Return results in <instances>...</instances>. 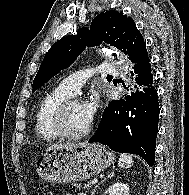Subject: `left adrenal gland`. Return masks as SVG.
I'll use <instances>...</instances> for the list:
<instances>
[{"label":"left adrenal gland","mask_w":189,"mask_h":195,"mask_svg":"<svg viewBox=\"0 0 189 195\" xmlns=\"http://www.w3.org/2000/svg\"><path fill=\"white\" fill-rule=\"evenodd\" d=\"M114 177V172H111L110 174H108L103 180H101V182L95 186V188L93 189L91 195H94L96 193L97 188L100 186V184H102L105 180H107L108 178H112Z\"/></svg>","instance_id":"obj_1"}]
</instances>
